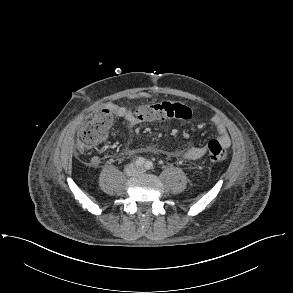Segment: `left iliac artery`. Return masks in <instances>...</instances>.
<instances>
[{"mask_svg": "<svg viewBox=\"0 0 293 293\" xmlns=\"http://www.w3.org/2000/svg\"><path fill=\"white\" fill-rule=\"evenodd\" d=\"M144 166L147 170H150L153 168V163L151 161H146Z\"/></svg>", "mask_w": 293, "mask_h": 293, "instance_id": "44dca946", "label": "left iliac artery"}]
</instances>
